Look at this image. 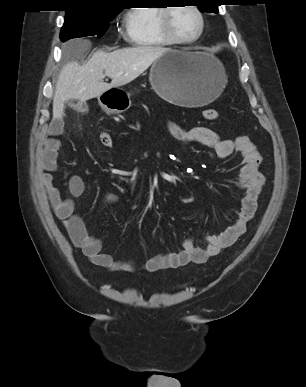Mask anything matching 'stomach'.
I'll list each match as a JSON object with an SVG mask.
<instances>
[{
  "label": "stomach",
  "instance_id": "obj_1",
  "mask_svg": "<svg viewBox=\"0 0 306 387\" xmlns=\"http://www.w3.org/2000/svg\"><path fill=\"white\" fill-rule=\"evenodd\" d=\"M149 80L164 100L183 107H200L215 100L226 84L223 65L200 51L169 50L154 61ZM107 114L121 113L131 105L130 95L119 87L98 97Z\"/></svg>",
  "mask_w": 306,
  "mask_h": 387
}]
</instances>
